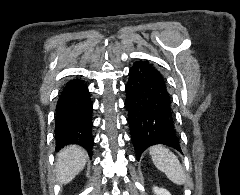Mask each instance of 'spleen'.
I'll return each instance as SVG.
<instances>
[{
	"mask_svg": "<svg viewBox=\"0 0 240 195\" xmlns=\"http://www.w3.org/2000/svg\"><path fill=\"white\" fill-rule=\"evenodd\" d=\"M149 153L154 165L164 171L171 181L178 183V185L185 183L184 169L173 151H170L168 147H163V145H151Z\"/></svg>",
	"mask_w": 240,
	"mask_h": 195,
	"instance_id": "3e777b00",
	"label": "spleen"
}]
</instances>
